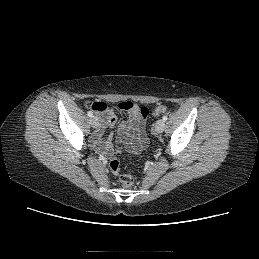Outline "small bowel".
Here are the masks:
<instances>
[{"label":"small bowel","instance_id":"small-bowel-1","mask_svg":"<svg viewBox=\"0 0 259 259\" xmlns=\"http://www.w3.org/2000/svg\"><path fill=\"white\" fill-rule=\"evenodd\" d=\"M100 119V122L113 128L117 122V117L111 106L105 104L103 110H94ZM127 117L118 126V139L127 144L132 152H140L148 142L146 136V117L141 114V110L133 103V107L123 110ZM103 134V127L100 125L93 136V143L95 147L104 152H109L112 144V136L107 139L101 138Z\"/></svg>","mask_w":259,"mask_h":259}]
</instances>
